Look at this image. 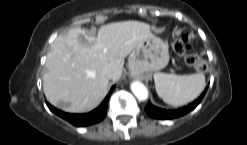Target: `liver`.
Instances as JSON below:
<instances>
[{
    "mask_svg": "<svg viewBox=\"0 0 247 145\" xmlns=\"http://www.w3.org/2000/svg\"><path fill=\"white\" fill-rule=\"evenodd\" d=\"M153 36L147 23L129 20L103 25L97 37L81 28L59 35L51 45L43 75L47 100L70 113L96 108L108 93L103 68L120 79L124 59L144 39Z\"/></svg>",
    "mask_w": 247,
    "mask_h": 145,
    "instance_id": "1",
    "label": "liver"
}]
</instances>
